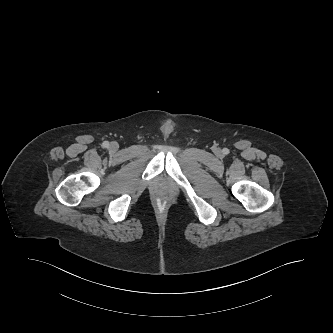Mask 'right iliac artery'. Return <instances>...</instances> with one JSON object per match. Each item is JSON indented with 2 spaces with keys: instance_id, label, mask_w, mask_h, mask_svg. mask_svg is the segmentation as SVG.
<instances>
[{
  "instance_id": "obj_1",
  "label": "right iliac artery",
  "mask_w": 333,
  "mask_h": 333,
  "mask_svg": "<svg viewBox=\"0 0 333 333\" xmlns=\"http://www.w3.org/2000/svg\"><path fill=\"white\" fill-rule=\"evenodd\" d=\"M102 147L103 148H108L109 147V142L108 141L103 142Z\"/></svg>"
}]
</instances>
